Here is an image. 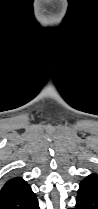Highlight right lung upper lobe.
<instances>
[{
    "mask_svg": "<svg viewBox=\"0 0 98 209\" xmlns=\"http://www.w3.org/2000/svg\"><path fill=\"white\" fill-rule=\"evenodd\" d=\"M29 185L21 177L9 179L2 188H0V206L8 202Z\"/></svg>",
    "mask_w": 98,
    "mask_h": 209,
    "instance_id": "obj_1",
    "label": "right lung upper lobe"
}]
</instances>
